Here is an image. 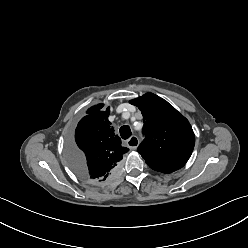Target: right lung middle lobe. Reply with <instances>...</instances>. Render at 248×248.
I'll list each match as a JSON object with an SVG mask.
<instances>
[{"instance_id": "obj_1", "label": "right lung middle lobe", "mask_w": 248, "mask_h": 248, "mask_svg": "<svg viewBox=\"0 0 248 248\" xmlns=\"http://www.w3.org/2000/svg\"><path fill=\"white\" fill-rule=\"evenodd\" d=\"M80 156V151L75 147L73 143H70L67 147V158L72 169L78 174V168L76 166V158Z\"/></svg>"}]
</instances>
